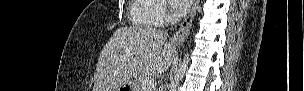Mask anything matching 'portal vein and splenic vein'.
<instances>
[{"mask_svg":"<svg viewBox=\"0 0 304 91\" xmlns=\"http://www.w3.org/2000/svg\"><path fill=\"white\" fill-rule=\"evenodd\" d=\"M156 82L152 79L146 80L143 83L142 90L143 91H151L155 87Z\"/></svg>","mask_w":304,"mask_h":91,"instance_id":"portal-vein-and-splenic-vein-1","label":"portal vein and splenic vein"}]
</instances>
